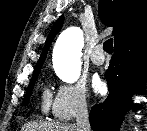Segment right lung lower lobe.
I'll list each match as a JSON object with an SVG mask.
<instances>
[{
  "mask_svg": "<svg viewBox=\"0 0 147 131\" xmlns=\"http://www.w3.org/2000/svg\"><path fill=\"white\" fill-rule=\"evenodd\" d=\"M109 95L90 112L94 131H119L131 95L142 93L147 79V28L131 39L115 45L114 55L105 73ZM139 79L135 82V79Z\"/></svg>",
  "mask_w": 147,
  "mask_h": 131,
  "instance_id": "obj_1",
  "label": "right lung lower lobe"
}]
</instances>
